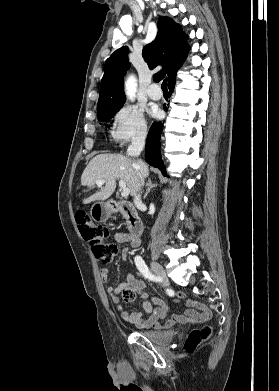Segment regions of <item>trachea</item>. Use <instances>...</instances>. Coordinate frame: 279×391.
I'll return each instance as SVG.
<instances>
[{
  "label": "trachea",
  "instance_id": "3493384b",
  "mask_svg": "<svg viewBox=\"0 0 279 391\" xmlns=\"http://www.w3.org/2000/svg\"><path fill=\"white\" fill-rule=\"evenodd\" d=\"M162 90L167 92V78H165L161 85Z\"/></svg>",
  "mask_w": 279,
  "mask_h": 391
}]
</instances>
